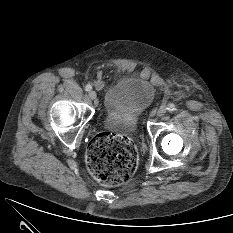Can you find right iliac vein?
I'll list each match as a JSON object with an SVG mask.
<instances>
[{
	"instance_id": "63e3f726",
	"label": "right iliac vein",
	"mask_w": 233,
	"mask_h": 233,
	"mask_svg": "<svg viewBox=\"0 0 233 233\" xmlns=\"http://www.w3.org/2000/svg\"><path fill=\"white\" fill-rule=\"evenodd\" d=\"M88 95H89L90 99H92V100H95L97 97V94L95 91H89Z\"/></svg>"
}]
</instances>
